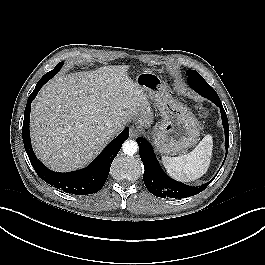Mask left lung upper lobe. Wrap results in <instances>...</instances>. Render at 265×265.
Returning a JSON list of instances; mask_svg holds the SVG:
<instances>
[{
  "mask_svg": "<svg viewBox=\"0 0 265 265\" xmlns=\"http://www.w3.org/2000/svg\"><path fill=\"white\" fill-rule=\"evenodd\" d=\"M188 75V82L189 81H196V80H204V78L195 70H188L187 72Z\"/></svg>",
  "mask_w": 265,
  "mask_h": 265,
  "instance_id": "1",
  "label": "left lung upper lobe"
}]
</instances>
